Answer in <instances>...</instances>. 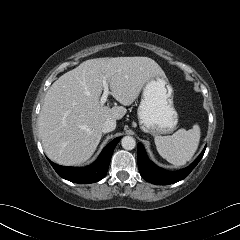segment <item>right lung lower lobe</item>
<instances>
[{"label": "right lung lower lobe", "instance_id": "right-lung-lower-lobe-1", "mask_svg": "<svg viewBox=\"0 0 240 240\" xmlns=\"http://www.w3.org/2000/svg\"><path fill=\"white\" fill-rule=\"evenodd\" d=\"M120 141V137L112 140L101 152L98 159L91 165L86 167H66L54 164L50 161V164L62 178L71 182L88 184L101 180L106 174L109 163L116 147Z\"/></svg>", "mask_w": 240, "mask_h": 240}]
</instances>
